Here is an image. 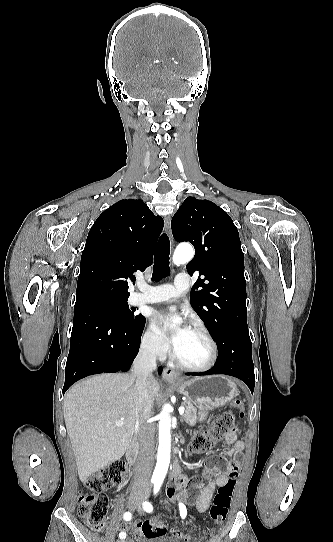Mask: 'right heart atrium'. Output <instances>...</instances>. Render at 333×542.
<instances>
[{
  "label": "right heart atrium",
  "mask_w": 333,
  "mask_h": 542,
  "mask_svg": "<svg viewBox=\"0 0 333 542\" xmlns=\"http://www.w3.org/2000/svg\"><path fill=\"white\" fill-rule=\"evenodd\" d=\"M142 348L151 357H163L167 353V343L154 321L150 320L142 335Z\"/></svg>",
  "instance_id": "right-heart-atrium-1"
}]
</instances>
